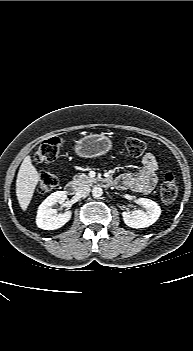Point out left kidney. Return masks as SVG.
I'll use <instances>...</instances> for the list:
<instances>
[{
  "label": "left kidney",
  "mask_w": 193,
  "mask_h": 351,
  "mask_svg": "<svg viewBox=\"0 0 193 351\" xmlns=\"http://www.w3.org/2000/svg\"><path fill=\"white\" fill-rule=\"evenodd\" d=\"M137 203L145 208L143 210L124 211L122 217L125 224L131 228H145L154 224L161 214L160 206L147 198H139Z\"/></svg>",
  "instance_id": "1"
}]
</instances>
